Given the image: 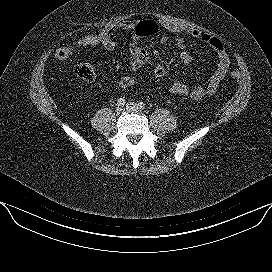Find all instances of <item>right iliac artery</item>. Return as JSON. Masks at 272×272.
<instances>
[{
	"instance_id": "1",
	"label": "right iliac artery",
	"mask_w": 272,
	"mask_h": 272,
	"mask_svg": "<svg viewBox=\"0 0 272 272\" xmlns=\"http://www.w3.org/2000/svg\"><path fill=\"white\" fill-rule=\"evenodd\" d=\"M125 103H126V101H125V98H124V97H121V98H119V99L117 100V105H118V106H124Z\"/></svg>"
}]
</instances>
